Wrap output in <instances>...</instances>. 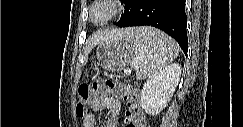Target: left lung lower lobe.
Listing matches in <instances>:
<instances>
[{
    "label": "left lung lower lobe",
    "instance_id": "1",
    "mask_svg": "<svg viewBox=\"0 0 243 127\" xmlns=\"http://www.w3.org/2000/svg\"><path fill=\"white\" fill-rule=\"evenodd\" d=\"M186 20L184 0H129L116 25H149L159 28L173 37L187 54Z\"/></svg>",
    "mask_w": 243,
    "mask_h": 127
}]
</instances>
